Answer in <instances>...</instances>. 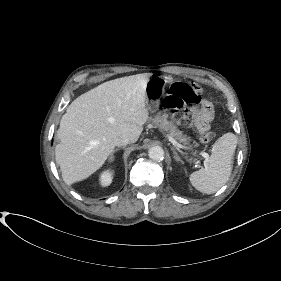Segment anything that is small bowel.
Masks as SVG:
<instances>
[{
	"mask_svg": "<svg viewBox=\"0 0 281 281\" xmlns=\"http://www.w3.org/2000/svg\"><path fill=\"white\" fill-rule=\"evenodd\" d=\"M192 116L195 126L200 133L207 131L210 127V122L214 117V110L212 104L203 100L200 107L192 111Z\"/></svg>",
	"mask_w": 281,
	"mask_h": 281,
	"instance_id": "obj_1",
	"label": "small bowel"
}]
</instances>
